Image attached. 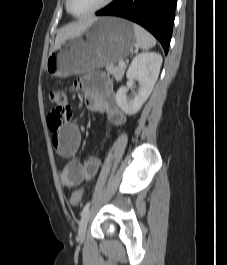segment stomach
I'll return each instance as SVG.
<instances>
[{
  "label": "stomach",
  "mask_w": 227,
  "mask_h": 265,
  "mask_svg": "<svg viewBox=\"0 0 227 265\" xmlns=\"http://www.w3.org/2000/svg\"><path fill=\"white\" fill-rule=\"evenodd\" d=\"M135 41L131 22L117 17L98 18L80 35L51 51L45 70L51 76L64 78L113 65L131 53Z\"/></svg>",
  "instance_id": "1"
}]
</instances>
